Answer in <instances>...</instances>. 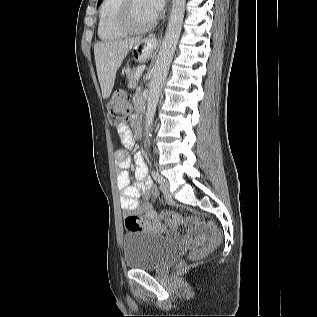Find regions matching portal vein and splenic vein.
<instances>
[{"instance_id": "obj_1", "label": "portal vein and splenic vein", "mask_w": 317, "mask_h": 317, "mask_svg": "<svg viewBox=\"0 0 317 317\" xmlns=\"http://www.w3.org/2000/svg\"><path fill=\"white\" fill-rule=\"evenodd\" d=\"M144 69H145V65H140V66L137 68V75L142 74V72L144 71Z\"/></svg>"}]
</instances>
